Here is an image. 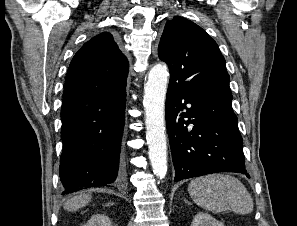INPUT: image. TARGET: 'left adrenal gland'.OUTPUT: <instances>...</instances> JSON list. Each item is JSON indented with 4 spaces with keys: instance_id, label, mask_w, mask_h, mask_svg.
I'll list each match as a JSON object with an SVG mask.
<instances>
[{
    "instance_id": "left-adrenal-gland-1",
    "label": "left adrenal gland",
    "mask_w": 297,
    "mask_h": 226,
    "mask_svg": "<svg viewBox=\"0 0 297 226\" xmlns=\"http://www.w3.org/2000/svg\"><path fill=\"white\" fill-rule=\"evenodd\" d=\"M185 203L189 204V202L187 200H185Z\"/></svg>"
}]
</instances>
